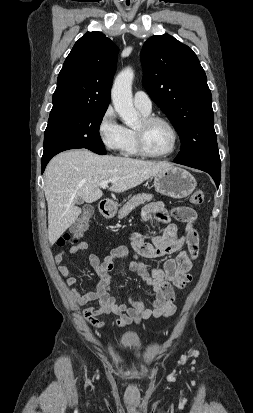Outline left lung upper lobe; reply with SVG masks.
<instances>
[{
  "label": "left lung upper lobe",
  "instance_id": "5c2ea615",
  "mask_svg": "<svg viewBox=\"0 0 253 413\" xmlns=\"http://www.w3.org/2000/svg\"><path fill=\"white\" fill-rule=\"evenodd\" d=\"M140 57L144 88L180 136L182 146L175 160L221 164L212 96L196 54L164 34L149 38Z\"/></svg>",
  "mask_w": 253,
  "mask_h": 413
}]
</instances>
